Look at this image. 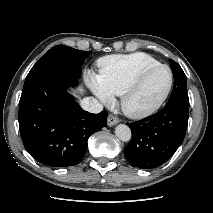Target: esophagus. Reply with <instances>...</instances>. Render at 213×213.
<instances>
[{
  "instance_id": "obj_1",
  "label": "esophagus",
  "mask_w": 213,
  "mask_h": 213,
  "mask_svg": "<svg viewBox=\"0 0 213 213\" xmlns=\"http://www.w3.org/2000/svg\"><path fill=\"white\" fill-rule=\"evenodd\" d=\"M119 122L118 118H116L114 115L110 114L107 118V124L108 126H114Z\"/></svg>"
}]
</instances>
